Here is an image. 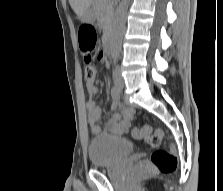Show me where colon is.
<instances>
[{
    "instance_id": "colon-1",
    "label": "colon",
    "mask_w": 223,
    "mask_h": 191,
    "mask_svg": "<svg viewBox=\"0 0 223 191\" xmlns=\"http://www.w3.org/2000/svg\"><path fill=\"white\" fill-rule=\"evenodd\" d=\"M97 33L93 26L83 25L79 31V43L81 49L87 53L85 67V79L88 83H93L97 78V70L90 64L91 54L96 48ZM135 139H144L155 149L146 162L138 163L136 170L140 173H151L159 171L163 174H171L177 168V157L172 146L163 147L164 134L161 130L152 131L150 126L135 128L132 132Z\"/></svg>"
}]
</instances>
